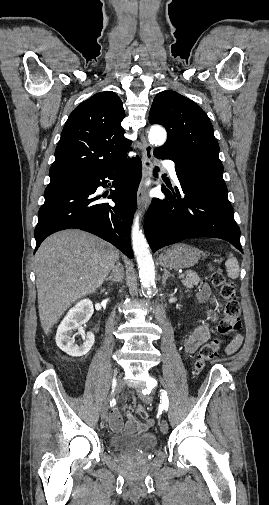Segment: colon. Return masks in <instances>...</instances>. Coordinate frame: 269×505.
<instances>
[{"label":"colon","instance_id":"colon-1","mask_svg":"<svg viewBox=\"0 0 269 505\" xmlns=\"http://www.w3.org/2000/svg\"><path fill=\"white\" fill-rule=\"evenodd\" d=\"M211 282L220 289L221 297L225 300L223 316L217 327L218 332L223 336L234 334L241 328V308L236 297L235 285L227 280L219 269H212ZM220 348V339H214L201 346L194 364L196 374H199L206 364L219 354ZM136 412L143 418L147 416V411L142 405L137 406Z\"/></svg>","mask_w":269,"mask_h":505}]
</instances>
